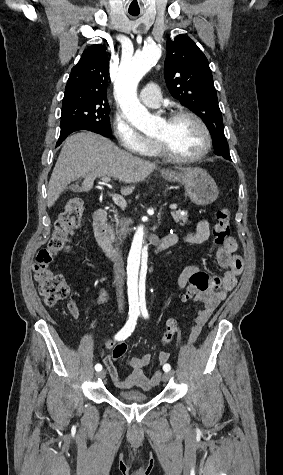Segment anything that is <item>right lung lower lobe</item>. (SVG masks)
Segmentation results:
<instances>
[{"instance_id":"obj_1","label":"right lung lower lobe","mask_w":283,"mask_h":475,"mask_svg":"<svg viewBox=\"0 0 283 475\" xmlns=\"http://www.w3.org/2000/svg\"><path fill=\"white\" fill-rule=\"evenodd\" d=\"M79 130H84V129L81 127H69V128L61 129L60 137L58 139L56 146H59L61 142L64 141L69 134H71L74 131H79Z\"/></svg>"}]
</instances>
